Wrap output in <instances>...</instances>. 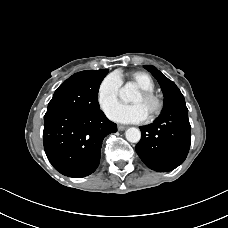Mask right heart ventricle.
<instances>
[{
	"mask_svg": "<svg viewBox=\"0 0 228 228\" xmlns=\"http://www.w3.org/2000/svg\"><path fill=\"white\" fill-rule=\"evenodd\" d=\"M128 77H129V80L133 82L139 89L150 90V91H154L155 89V83L152 77L145 72H142V71L132 72L129 74Z\"/></svg>",
	"mask_w": 228,
	"mask_h": 228,
	"instance_id": "right-heart-ventricle-1",
	"label": "right heart ventricle"
}]
</instances>
